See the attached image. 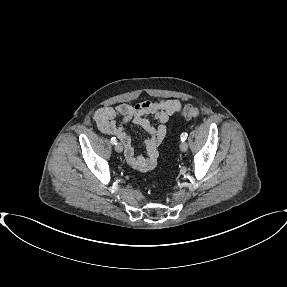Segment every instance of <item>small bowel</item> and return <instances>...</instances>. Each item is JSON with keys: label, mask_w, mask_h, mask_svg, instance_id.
Listing matches in <instances>:
<instances>
[{"label": "small bowel", "mask_w": 287, "mask_h": 287, "mask_svg": "<svg viewBox=\"0 0 287 287\" xmlns=\"http://www.w3.org/2000/svg\"><path fill=\"white\" fill-rule=\"evenodd\" d=\"M180 107L181 102L176 99L142 101L134 105L119 104L115 107L105 106L96 111L95 121L102 133L115 135L122 142L126 161L131 167L139 171H149L157 162V147L166 136L165 124ZM148 115H153L159 124L153 126L147 119ZM118 117L121 118V123L116 122ZM128 122H133L149 134L145 140L147 157L135 155L131 138L123 127V124Z\"/></svg>", "instance_id": "small-bowel-1"}]
</instances>
